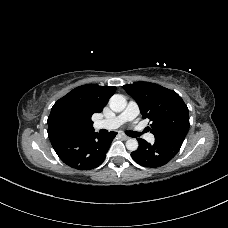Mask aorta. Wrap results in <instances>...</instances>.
<instances>
[{
	"mask_svg": "<svg viewBox=\"0 0 228 228\" xmlns=\"http://www.w3.org/2000/svg\"><path fill=\"white\" fill-rule=\"evenodd\" d=\"M127 101L126 98L121 94L113 95L109 100V106L114 112H121L126 108ZM138 141L134 138L128 139L126 141V147L130 151H136L138 149Z\"/></svg>",
	"mask_w": 228,
	"mask_h": 228,
	"instance_id": "1",
	"label": "aorta"
}]
</instances>
